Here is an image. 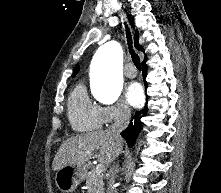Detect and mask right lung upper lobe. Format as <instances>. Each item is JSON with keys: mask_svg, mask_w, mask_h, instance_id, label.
Instances as JSON below:
<instances>
[{"mask_svg": "<svg viewBox=\"0 0 221 193\" xmlns=\"http://www.w3.org/2000/svg\"><path fill=\"white\" fill-rule=\"evenodd\" d=\"M134 42H135V47L138 49V50H142L143 51V48L139 45L138 43V31L135 32V35H134ZM146 61V58L144 59L143 62ZM79 72V66L77 65L74 69V72H73V76H75L77 73Z\"/></svg>", "mask_w": 221, "mask_h": 193, "instance_id": "cb5924a9", "label": "right lung upper lobe"}]
</instances>
